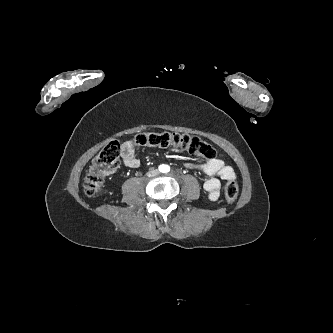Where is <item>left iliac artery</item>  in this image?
Segmentation results:
<instances>
[{
    "label": "left iliac artery",
    "instance_id": "obj_1",
    "mask_svg": "<svg viewBox=\"0 0 333 333\" xmlns=\"http://www.w3.org/2000/svg\"><path fill=\"white\" fill-rule=\"evenodd\" d=\"M169 171V168L168 167H166V172H168Z\"/></svg>",
    "mask_w": 333,
    "mask_h": 333
}]
</instances>
